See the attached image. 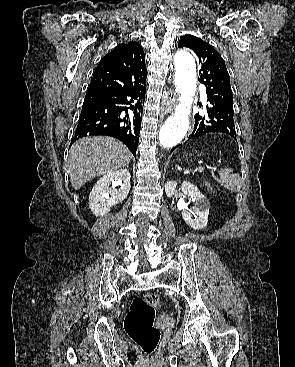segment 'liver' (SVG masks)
Masks as SVG:
<instances>
[{
  "instance_id": "1",
  "label": "liver",
  "mask_w": 295,
  "mask_h": 367,
  "mask_svg": "<svg viewBox=\"0 0 295 367\" xmlns=\"http://www.w3.org/2000/svg\"><path fill=\"white\" fill-rule=\"evenodd\" d=\"M131 158L129 149L114 138H82L73 144L67 160V172L72 187L78 190L98 176L125 167Z\"/></svg>"
}]
</instances>
